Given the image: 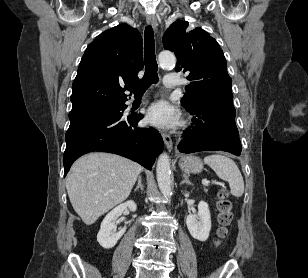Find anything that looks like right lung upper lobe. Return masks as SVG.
<instances>
[{"label":"right lung upper lobe","instance_id":"right-lung-upper-lobe-1","mask_svg":"<svg viewBox=\"0 0 308 278\" xmlns=\"http://www.w3.org/2000/svg\"><path fill=\"white\" fill-rule=\"evenodd\" d=\"M142 38L137 29L120 24L101 33L87 46L72 84V110L77 117L124 104L123 84L138 80L143 69Z\"/></svg>","mask_w":308,"mask_h":278}]
</instances>
